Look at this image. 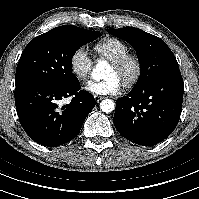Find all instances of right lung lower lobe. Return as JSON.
Wrapping results in <instances>:
<instances>
[{
  "mask_svg": "<svg viewBox=\"0 0 199 199\" xmlns=\"http://www.w3.org/2000/svg\"><path fill=\"white\" fill-rule=\"evenodd\" d=\"M70 96V103L59 105ZM15 104L29 137L43 146L55 147L78 135L95 100L89 92L80 91L78 80L64 85L32 82L16 85Z\"/></svg>",
  "mask_w": 199,
  "mask_h": 199,
  "instance_id": "right-lung-lower-lobe-1",
  "label": "right lung lower lobe"
}]
</instances>
